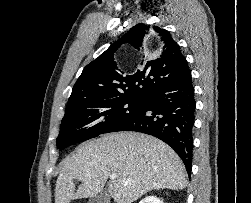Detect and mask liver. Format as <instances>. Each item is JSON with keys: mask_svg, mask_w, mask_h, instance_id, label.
Returning <instances> with one entry per match:
<instances>
[{"mask_svg": "<svg viewBox=\"0 0 251 203\" xmlns=\"http://www.w3.org/2000/svg\"><path fill=\"white\" fill-rule=\"evenodd\" d=\"M112 173L117 177L108 182V191L116 203H133L152 190H182L187 184L181 159L161 140L136 132L109 133L83 143L65 162L55 203L96 196ZM74 180L82 182L77 190Z\"/></svg>", "mask_w": 251, "mask_h": 203, "instance_id": "6515ba94", "label": "liver"}]
</instances>
